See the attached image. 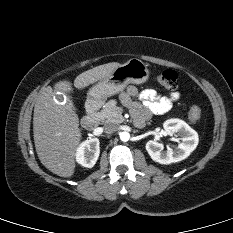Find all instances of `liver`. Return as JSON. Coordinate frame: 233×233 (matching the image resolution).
Returning a JSON list of instances; mask_svg holds the SVG:
<instances>
[{"label": "liver", "instance_id": "6515ba94", "mask_svg": "<svg viewBox=\"0 0 233 233\" xmlns=\"http://www.w3.org/2000/svg\"><path fill=\"white\" fill-rule=\"evenodd\" d=\"M120 63L111 62L79 74L74 86L83 89L109 76ZM71 82L59 81L55 90L69 92ZM52 87H42L35 101L33 136L36 152L41 163L52 173L69 178L75 171V157L81 140L78 115L71 104L54 101Z\"/></svg>", "mask_w": 233, "mask_h": 233}]
</instances>
